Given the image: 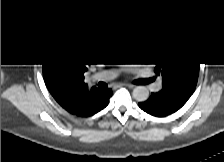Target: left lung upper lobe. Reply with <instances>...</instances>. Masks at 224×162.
Returning a JSON list of instances; mask_svg holds the SVG:
<instances>
[{
	"instance_id": "left-lung-upper-lobe-1",
	"label": "left lung upper lobe",
	"mask_w": 224,
	"mask_h": 162,
	"mask_svg": "<svg viewBox=\"0 0 224 162\" xmlns=\"http://www.w3.org/2000/svg\"><path fill=\"white\" fill-rule=\"evenodd\" d=\"M155 72L162 76L160 92L190 97L196 88L199 63L196 57L185 55L178 49L169 48L156 64Z\"/></svg>"
}]
</instances>
